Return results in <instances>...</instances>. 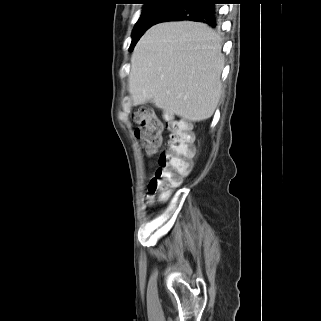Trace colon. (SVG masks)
<instances>
[{
  "label": "colon",
  "instance_id": "5ec220e1",
  "mask_svg": "<svg viewBox=\"0 0 321 321\" xmlns=\"http://www.w3.org/2000/svg\"><path fill=\"white\" fill-rule=\"evenodd\" d=\"M138 124L135 136L148 155L156 153L163 140V122L149 109L141 108L133 114ZM168 136L159 154L157 168L148 185V201L156 195L165 199L169 190L178 186L192 170L195 153L193 135L188 125L174 118L167 122Z\"/></svg>",
  "mask_w": 321,
  "mask_h": 321
}]
</instances>
